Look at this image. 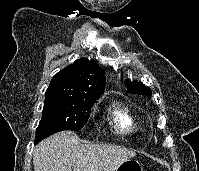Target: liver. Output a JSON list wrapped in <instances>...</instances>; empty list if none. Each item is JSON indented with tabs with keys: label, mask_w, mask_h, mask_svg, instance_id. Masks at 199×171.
I'll return each instance as SVG.
<instances>
[{
	"label": "liver",
	"mask_w": 199,
	"mask_h": 171,
	"mask_svg": "<svg viewBox=\"0 0 199 171\" xmlns=\"http://www.w3.org/2000/svg\"><path fill=\"white\" fill-rule=\"evenodd\" d=\"M135 152L108 144H87L71 131L57 133L34 149V171H115Z\"/></svg>",
	"instance_id": "liver-1"
}]
</instances>
